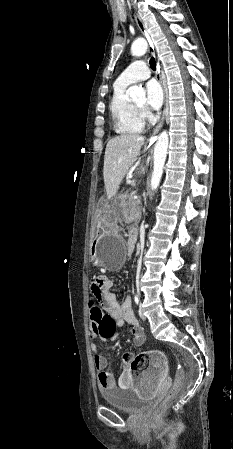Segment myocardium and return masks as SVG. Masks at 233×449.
Masks as SVG:
<instances>
[{"label": "myocardium", "instance_id": "1", "mask_svg": "<svg viewBox=\"0 0 233 449\" xmlns=\"http://www.w3.org/2000/svg\"><path fill=\"white\" fill-rule=\"evenodd\" d=\"M133 106H134V108H135L137 111H139V112L141 113V111H142V109H143L142 106H138V105H136V104H133Z\"/></svg>", "mask_w": 233, "mask_h": 449}]
</instances>
